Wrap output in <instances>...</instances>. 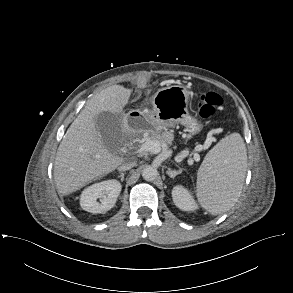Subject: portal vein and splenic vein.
<instances>
[{"label": "portal vein and splenic vein", "instance_id": "18ae733b", "mask_svg": "<svg viewBox=\"0 0 293 293\" xmlns=\"http://www.w3.org/2000/svg\"><path fill=\"white\" fill-rule=\"evenodd\" d=\"M141 151L145 152H160L161 151V143L157 140H146L140 147ZM194 160L199 161L200 156L198 154H194Z\"/></svg>", "mask_w": 293, "mask_h": 293}]
</instances>
